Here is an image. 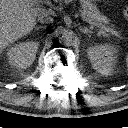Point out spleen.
Returning a JSON list of instances; mask_svg holds the SVG:
<instances>
[{
  "mask_svg": "<svg viewBox=\"0 0 128 128\" xmlns=\"http://www.w3.org/2000/svg\"><path fill=\"white\" fill-rule=\"evenodd\" d=\"M127 67H128V56L126 57Z\"/></svg>",
  "mask_w": 128,
  "mask_h": 128,
  "instance_id": "1",
  "label": "spleen"
}]
</instances>
